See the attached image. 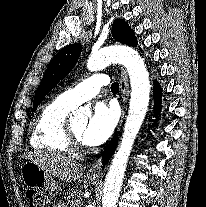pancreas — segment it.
<instances>
[{
    "instance_id": "1",
    "label": "pancreas",
    "mask_w": 206,
    "mask_h": 207,
    "mask_svg": "<svg viewBox=\"0 0 206 207\" xmlns=\"http://www.w3.org/2000/svg\"><path fill=\"white\" fill-rule=\"evenodd\" d=\"M82 192L81 191H76L72 192L68 197H67V205L63 203H58L54 207H81L82 199H81Z\"/></svg>"
}]
</instances>
